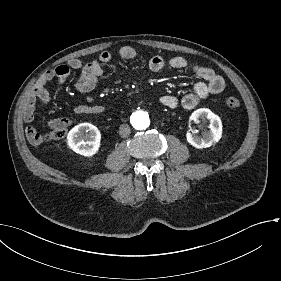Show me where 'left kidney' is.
<instances>
[{"label":"left kidney","instance_id":"left-kidney-1","mask_svg":"<svg viewBox=\"0 0 281 281\" xmlns=\"http://www.w3.org/2000/svg\"><path fill=\"white\" fill-rule=\"evenodd\" d=\"M197 119L209 120L210 130L205 132L203 137L195 136L192 133L187 132V141L196 148H207L213 143L218 142L222 137V122L220 117L208 108H200L195 110L190 116V121Z\"/></svg>","mask_w":281,"mask_h":281}]
</instances>
